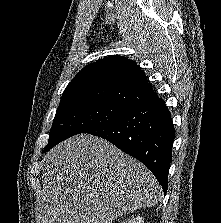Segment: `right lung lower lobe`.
Wrapping results in <instances>:
<instances>
[{
  "instance_id": "right-lung-lower-lobe-1",
  "label": "right lung lower lobe",
  "mask_w": 221,
  "mask_h": 223,
  "mask_svg": "<svg viewBox=\"0 0 221 223\" xmlns=\"http://www.w3.org/2000/svg\"><path fill=\"white\" fill-rule=\"evenodd\" d=\"M85 133L104 138L141 161L166 193L175 129L171 113L162 99L157 97L137 105Z\"/></svg>"
}]
</instances>
